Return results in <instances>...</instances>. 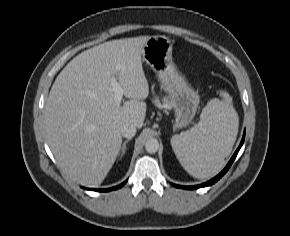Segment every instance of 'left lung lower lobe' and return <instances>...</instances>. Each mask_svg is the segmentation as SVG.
I'll return each instance as SVG.
<instances>
[{
	"label": "left lung lower lobe",
	"instance_id": "obj_1",
	"mask_svg": "<svg viewBox=\"0 0 290 236\" xmlns=\"http://www.w3.org/2000/svg\"><path fill=\"white\" fill-rule=\"evenodd\" d=\"M245 139V131L241 140V143L239 145V147L237 148L236 152L234 153V155L232 156V158L230 159V161L228 162V164L226 165V167L222 170V172H220L216 177H214L213 179L209 180L206 183L200 184V185H196V186H179L176 184H173V186L177 187V188H183V189H197V188H201V187H205V186H210L212 184H214L215 182H217L230 168V166L232 165V163L234 162L241 146L243 145Z\"/></svg>",
	"mask_w": 290,
	"mask_h": 236
}]
</instances>
